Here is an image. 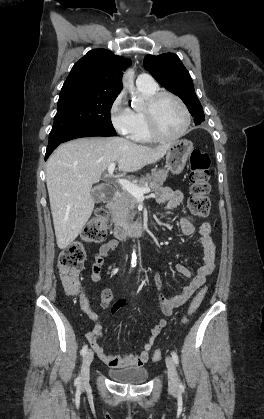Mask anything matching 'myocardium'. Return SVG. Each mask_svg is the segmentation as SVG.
Wrapping results in <instances>:
<instances>
[{
    "label": "myocardium",
    "mask_w": 264,
    "mask_h": 419,
    "mask_svg": "<svg viewBox=\"0 0 264 419\" xmlns=\"http://www.w3.org/2000/svg\"><path fill=\"white\" fill-rule=\"evenodd\" d=\"M163 97H170L174 99L178 103V105L180 106L184 114L185 121H184L183 128L178 134L174 136L164 135L161 132L158 125L157 107L160 100ZM145 115H146L150 135L152 136L154 140L161 141V142H174L182 138L187 133L191 124V114L188 107L184 103V101L175 93L170 92V91H165V90L156 91L147 99L146 104H145Z\"/></svg>",
    "instance_id": "obj_1"
}]
</instances>
